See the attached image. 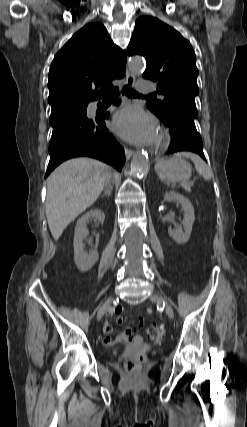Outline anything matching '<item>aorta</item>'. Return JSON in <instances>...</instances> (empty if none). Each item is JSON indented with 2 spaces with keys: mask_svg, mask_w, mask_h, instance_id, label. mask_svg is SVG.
I'll return each instance as SVG.
<instances>
[{
  "mask_svg": "<svg viewBox=\"0 0 247 427\" xmlns=\"http://www.w3.org/2000/svg\"><path fill=\"white\" fill-rule=\"evenodd\" d=\"M128 67L131 73L140 75L144 68L145 63L138 57H133L129 60ZM148 169V155L145 152H137L131 161L130 173L133 176L143 174Z\"/></svg>",
  "mask_w": 247,
  "mask_h": 427,
  "instance_id": "obj_1",
  "label": "aorta"
}]
</instances>
